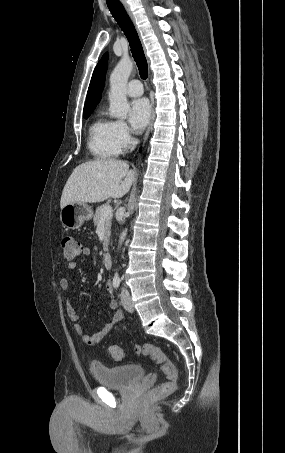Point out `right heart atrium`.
I'll use <instances>...</instances> for the list:
<instances>
[{
    "label": "right heart atrium",
    "mask_w": 285,
    "mask_h": 453,
    "mask_svg": "<svg viewBox=\"0 0 285 453\" xmlns=\"http://www.w3.org/2000/svg\"><path fill=\"white\" fill-rule=\"evenodd\" d=\"M115 136L120 151L128 147L132 141L130 130L123 121H115Z\"/></svg>",
    "instance_id": "d8ad5b80"
}]
</instances>
